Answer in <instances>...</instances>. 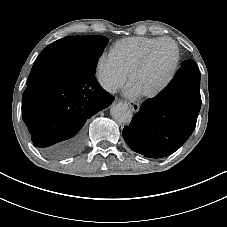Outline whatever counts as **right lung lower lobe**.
<instances>
[{
  "label": "right lung lower lobe",
  "mask_w": 227,
  "mask_h": 227,
  "mask_svg": "<svg viewBox=\"0 0 227 227\" xmlns=\"http://www.w3.org/2000/svg\"><path fill=\"white\" fill-rule=\"evenodd\" d=\"M44 50L34 65L44 68L43 81L27 86L22 114L34 146L49 159H62L78 152L88 119L108 107L114 97L94 79L59 73L53 53Z\"/></svg>",
  "instance_id": "obj_1"
}]
</instances>
